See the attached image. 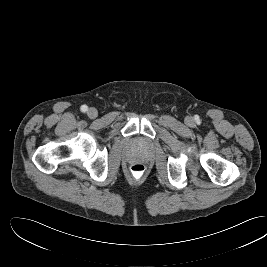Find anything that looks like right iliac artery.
I'll return each mask as SVG.
<instances>
[{
  "mask_svg": "<svg viewBox=\"0 0 267 267\" xmlns=\"http://www.w3.org/2000/svg\"><path fill=\"white\" fill-rule=\"evenodd\" d=\"M80 109L85 113L88 110V107L86 105H82Z\"/></svg>",
  "mask_w": 267,
  "mask_h": 267,
  "instance_id": "1",
  "label": "right iliac artery"
}]
</instances>
